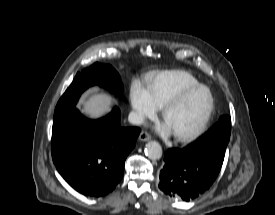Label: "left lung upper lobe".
<instances>
[{
	"label": "left lung upper lobe",
	"mask_w": 275,
	"mask_h": 215,
	"mask_svg": "<svg viewBox=\"0 0 275 215\" xmlns=\"http://www.w3.org/2000/svg\"><path fill=\"white\" fill-rule=\"evenodd\" d=\"M230 133L231 117L223 115L208 132L189 147L195 154L210 157L222 164Z\"/></svg>",
	"instance_id": "5c2ea615"
}]
</instances>
